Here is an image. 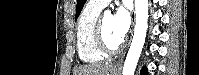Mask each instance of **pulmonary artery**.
I'll return each instance as SVG.
<instances>
[{"mask_svg": "<svg viewBox=\"0 0 199 75\" xmlns=\"http://www.w3.org/2000/svg\"><path fill=\"white\" fill-rule=\"evenodd\" d=\"M109 2H110L109 0H96V1H90L89 3L92 6L99 7L102 9L106 7L109 4Z\"/></svg>", "mask_w": 199, "mask_h": 75, "instance_id": "1", "label": "pulmonary artery"}]
</instances>
